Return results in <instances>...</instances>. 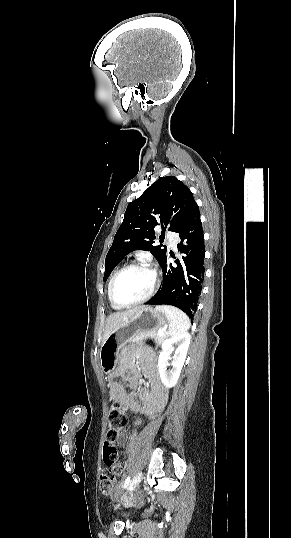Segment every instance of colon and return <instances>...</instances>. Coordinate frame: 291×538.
<instances>
[{"mask_svg": "<svg viewBox=\"0 0 291 538\" xmlns=\"http://www.w3.org/2000/svg\"><path fill=\"white\" fill-rule=\"evenodd\" d=\"M147 344L153 347L156 345V342L154 340H147ZM126 423V410L120 406V404L111 401L109 408V429L103 449V460L107 465V469L101 472L99 480L100 490L105 495H112L114 493L115 480L118 474V471L114 468L117 464L114 441L117 439Z\"/></svg>", "mask_w": 291, "mask_h": 538, "instance_id": "5ec220e1", "label": "colon"}]
</instances>
